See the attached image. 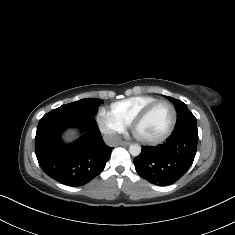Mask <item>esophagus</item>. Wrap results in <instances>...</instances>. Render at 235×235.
I'll return each mask as SVG.
<instances>
[{
    "instance_id": "34e87169",
    "label": "esophagus",
    "mask_w": 235,
    "mask_h": 235,
    "mask_svg": "<svg viewBox=\"0 0 235 235\" xmlns=\"http://www.w3.org/2000/svg\"><path fill=\"white\" fill-rule=\"evenodd\" d=\"M120 145L121 146H128V145H130V142H128V141H121Z\"/></svg>"
}]
</instances>
